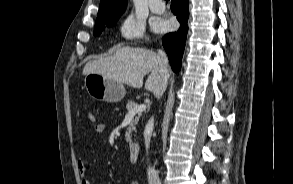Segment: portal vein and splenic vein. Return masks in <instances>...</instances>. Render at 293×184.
Wrapping results in <instances>:
<instances>
[{
  "mask_svg": "<svg viewBox=\"0 0 293 184\" xmlns=\"http://www.w3.org/2000/svg\"><path fill=\"white\" fill-rule=\"evenodd\" d=\"M145 110H146V104L143 103V104L136 106L134 109H132L130 111V113L135 114V113L143 112Z\"/></svg>",
  "mask_w": 293,
  "mask_h": 184,
  "instance_id": "portal-vein-and-splenic-vein-1",
  "label": "portal vein and splenic vein"
}]
</instances>
